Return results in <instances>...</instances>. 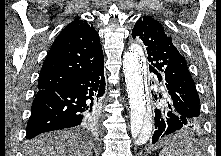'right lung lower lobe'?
<instances>
[{
    "mask_svg": "<svg viewBox=\"0 0 221 156\" xmlns=\"http://www.w3.org/2000/svg\"><path fill=\"white\" fill-rule=\"evenodd\" d=\"M104 92V65L59 87L38 90L27 123L26 139L52 130L94 127V100L100 101Z\"/></svg>",
    "mask_w": 221,
    "mask_h": 156,
    "instance_id": "1",
    "label": "right lung lower lobe"
}]
</instances>
